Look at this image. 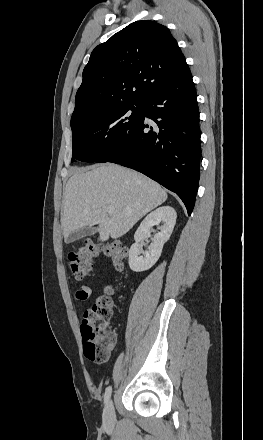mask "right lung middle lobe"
Returning <instances> with one entry per match:
<instances>
[{"label": "right lung middle lobe", "mask_w": 263, "mask_h": 440, "mask_svg": "<svg viewBox=\"0 0 263 440\" xmlns=\"http://www.w3.org/2000/svg\"><path fill=\"white\" fill-rule=\"evenodd\" d=\"M141 118L142 103L118 105L83 116L72 127L71 161L96 162L130 134Z\"/></svg>", "instance_id": "right-lung-middle-lobe-1"}]
</instances>
